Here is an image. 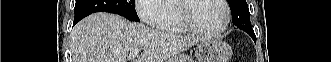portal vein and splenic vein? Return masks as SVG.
<instances>
[{"label":"portal vein and splenic vein","mask_w":331,"mask_h":62,"mask_svg":"<svg viewBox=\"0 0 331 62\" xmlns=\"http://www.w3.org/2000/svg\"><path fill=\"white\" fill-rule=\"evenodd\" d=\"M140 49H136V50H133L129 53V58H132V57H135L137 56V54L139 53Z\"/></svg>","instance_id":"portal-vein-and-splenic-vein-1"}]
</instances>
